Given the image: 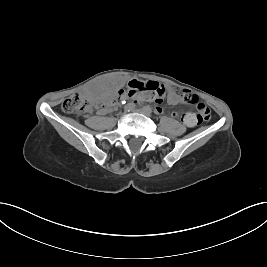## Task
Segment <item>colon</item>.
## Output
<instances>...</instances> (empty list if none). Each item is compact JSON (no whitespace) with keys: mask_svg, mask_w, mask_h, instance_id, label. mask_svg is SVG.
Masks as SVG:
<instances>
[{"mask_svg":"<svg viewBox=\"0 0 267 267\" xmlns=\"http://www.w3.org/2000/svg\"><path fill=\"white\" fill-rule=\"evenodd\" d=\"M167 94V88L156 81L132 80L129 82L126 90H119L114 96H111L102 106L115 105L120 100L127 98H141L143 100L160 103ZM182 101L189 104H196L198 98L190 91H183ZM91 102L81 93H76L66 98L62 103V110L68 114H85L92 109ZM197 113H195L198 123L206 122L210 119V111L207 106L200 102L197 103Z\"/></svg>","mask_w":267,"mask_h":267,"instance_id":"5ec220e1","label":"colon"}]
</instances>
